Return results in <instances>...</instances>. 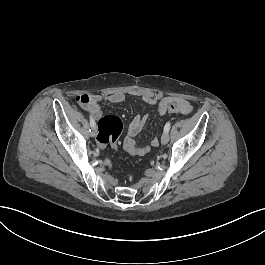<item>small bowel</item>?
I'll return each instance as SVG.
<instances>
[{
  "label": "small bowel",
  "mask_w": 265,
  "mask_h": 265,
  "mask_svg": "<svg viewBox=\"0 0 265 265\" xmlns=\"http://www.w3.org/2000/svg\"><path fill=\"white\" fill-rule=\"evenodd\" d=\"M89 99H90V102H89ZM89 99H88L87 104L82 107H85V110L87 112H89L93 117L97 118L101 114V109H100L101 102H107L109 104H120L125 101L126 96L123 92L117 91V92H114L108 95H100V94L90 95ZM171 99L177 100L179 102V105L183 109V115H188L192 112L193 107L191 103L186 99L170 97V96L158 98V97L152 96L151 94L142 95V101L149 106L156 107V112L159 115H165L167 113L165 110V105H166V102ZM147 121H148V116L145 115L142 117L135 118L130 124L127 135L124 139V144H123L125 150L129 154L136 155V156H143L150 151L151 147L158 146L159 140L156 136H153L150 139V145L148 146L139 145L136 142V136L142 130V128L146 125Z\"/></svg>",
  "instance_id": "small-bowel-1"
}]
</instances>
